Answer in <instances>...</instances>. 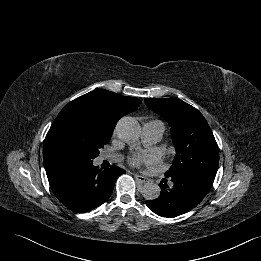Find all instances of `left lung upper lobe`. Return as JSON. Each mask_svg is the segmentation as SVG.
Instances as JSON below:
<instances>
[{
	"label": "left lung upper lobe",
	"mask_w": 261,
	"mask_h": 261,
	"mask_svg": "<svg viewBox=\"0 0 261 261\" xmlns=\"http://www.w3.org/2000/svg\"><path fill=\"white\" fill-rule=\"evenodd\" d=\"M145 104L171 126L176 156L165 176L195 172L215 178L219 148L200 111L175 98L145 99Z\"/></svg>",
	"instance_id": "left-lung-upper-lobe-1"
}]
</instances>
